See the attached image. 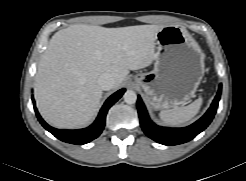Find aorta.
Listing matches in <instances>:
<instances>
[{
  "label": "aorta",
  "mask_w": 246,
  "mask_h": 181,
  "mask_svg": "<svg viewBox=\"0 0 246 181\" xmlns=\"http://www.w3.org/2000/svg\"><path fill=\"white\" fill-rule=\"evenodd\" d=\"M123 98L127 104H135L137 101V94L133 90H127L124 93Z\"/></svg>",
  "instance_id": "1"
}]
</instances>
